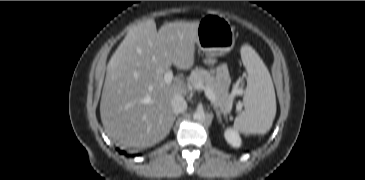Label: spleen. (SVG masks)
<instances>
[{
  "label": "spleen",
  "mask_w": 365,
  "mask_h": 180,
  "mask_svg": "<svg viewBox=\"0 0 365 180\" xmlns=\"http://www.w3.org/2000/svg\"><path fill=\"white\" fill-rule=\"evenodd\" d=\"M241 58L247 70V87L244 92V112L234 121L233 128L245 135L265 134L270 130L276 115V97L270 73L259 55L245 46Z\"/></svg>",
  "instance_id": "1"
}]
</instances>
